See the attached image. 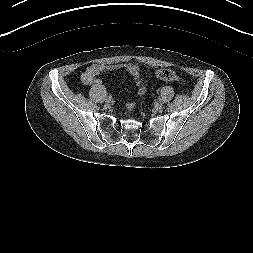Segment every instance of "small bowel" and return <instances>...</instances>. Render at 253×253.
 I'll return each instance as SVG.
<instances>
[{
	"mask_svg": "<svg viewBox=\"0 0 253 253\" xmlns=\"http://www.w3.org/2000/svg\"><path fill=\"white\" fill-rule=\"evenodd\" d=\"M126 70L135 78L139 77V73H140V68L138 65L136 64H126L125 65ZM112 68L110 66H106V65H92L90 66L82 75V81L85 84H92L94 83L96 76L100 73V72H104V71H111Z\"/></svg>",
	"mask_w": 253,
	"mask_h": 253,
	"instance_id": "small-bowel-1",
	"label": "small bowel"
}]
</instances>
